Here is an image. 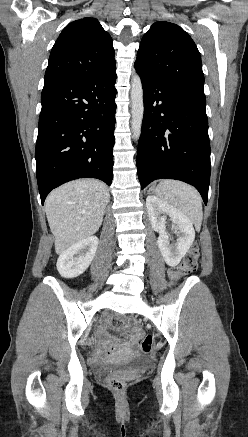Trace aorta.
Returning <instances> with one entry per match:
<instances>
[{
  "instance_id": "aorta-1",
  "label": "aorta",
  "mask_w": 248,
  "mask_h": 437,
  "mask_svg": "<svg viewBox=\"0 0 248 437\" xmlns=\"http://www.w3.org/2000/svg\"><path fill=\"white\" fill-rule=\"evenodd\" d=\"M131 127L133 131V138L138 140L142 130V120L144 114L143 104V89L141 79L138 75H134L131 80Z\"/></svg>"
}]
</instances>
